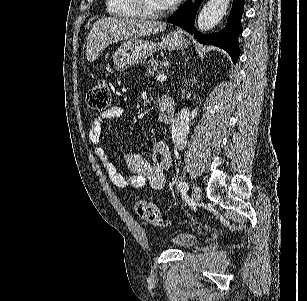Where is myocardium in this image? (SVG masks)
<instances>
[{"instance_id": "f54148a6", "label": "myocardium", "mask_w": 307, "mask_h": 301, "mask_svg": "<svg viewBox=\"0 0 307 301\" xmlns=\"http://www.w3.org/2000/svg\"><path fill=\"white\" fill-rule=\"evenodd\" d=\"M146 1L147 0H133L135 3L134 12H138L136 17L144 18L145 22H156L157 18L171 17L169 11L171 7L170 4H158L157 8L154 10Z\"/></svg>"}]
</instances>
